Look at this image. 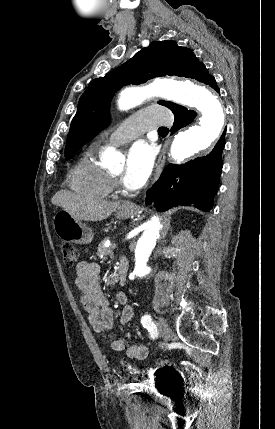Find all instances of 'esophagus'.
<instances>
[{
  "label": "esophagus",
  "mask_w": 275,
  "mask_h": 429,
  "mask_svg": "<svg viewBox=\"0 0 275 429\" xmlns=\"http://www.w3.org/2000/svg\"><path fill=\"white\" fill-rule=\"evenodd\" d=\"M165 159H166V149L163 148L159 154V157L155 166L154 174L152 176L151 184H154L160 177L165 164ZM126 205L129 207H134L132 203H126Z\"/></svg>",
  "instance_id": "esophagus-1"
}]
</instances>
